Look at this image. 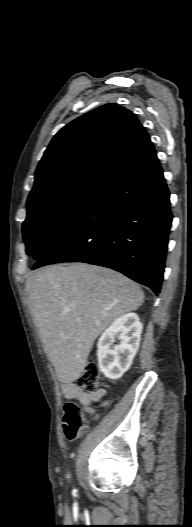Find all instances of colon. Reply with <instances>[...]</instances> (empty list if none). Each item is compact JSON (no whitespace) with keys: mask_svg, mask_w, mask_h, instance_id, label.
Returning <instances> with one entry per match:
<instances>
[{"mask_svg":"<svg viewBox=\"0 0 192 527\" xmlns=\"http://www.w3.org/2000/svg\"><path fill=\"white\" fill-rule=\"evenodd\" d=\"M100 371L95 362H88L76 381L78 387L86 392H95L99 386ZM63 428L69 441L75 440L87 428V420L92 416L91 408H82L74 402H67L63 408Z\"/></svg>","mask_w":192,"mask_h":527,"instance_id":"1","label":"colon"}]
</instances>
